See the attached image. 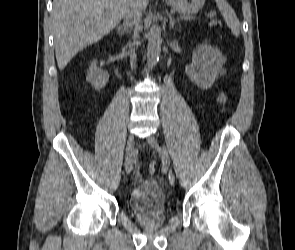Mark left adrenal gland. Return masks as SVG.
<instances>
[{"label":"left adrenal gland","instance_id":"left-adrenal-gland-1","mask_svg":"<svg viewBox=\"0 0 295 250\" xmlns=\"http://www.w3.org/2000/svg\"><path fill=\"white\" fill-rule=\"evenodd\" d=\"M168 18H169V27H170V29H173V28H174V25H175V23H176L177 21H175V20L172 18L171 14L168 15Z\"/></svg>","mask_w":295,"mask_h":250}]
</instances>
